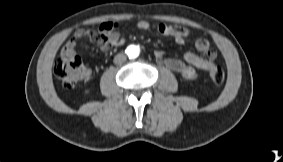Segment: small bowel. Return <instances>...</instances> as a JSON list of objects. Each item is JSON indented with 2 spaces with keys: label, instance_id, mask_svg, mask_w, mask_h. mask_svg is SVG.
<instances>
[{
  "label": "small bowel",
  "instance_id": "c3829d8e",
  "mask_svg": "<svg viewBox=\"0 0 283 162\" xmlns=\"http://www.w3.org/2000/svg\"><path fill=\"white\" fill-rule=\"evenodd\" d=\"M136 27L140 30H149L151 24L146 20H140L136 23ZM115 28L116 24L105 22L101 24L98 30H78L75 32L73 38L65 44L62 54L67 56L75 55L77 43L84 38L92 39L105 52L109 51L112 47L123 45L125 39ZM157 30L160 34L172 38L177 44H184L190 36L188 29L165 23L159 24ZM195 48L200 54L186 52L183 54L182 59L168 58L160 50L155 51L154 55L159 64L174 71L181 78L195 80L198 78L199 71H206L212 67L216 57L215 52L210 48V44L205 38L196 39Z\"/></svg>",
  "mask_w": 283,
  "mask_h": 162
}]
</instances>
